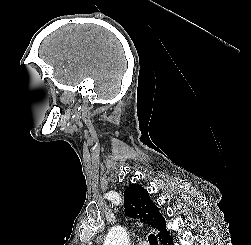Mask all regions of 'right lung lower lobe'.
Listing matches in <instances>:
<instances>
[{"label": "right lung lower lobe", "instance_id": "98d812e1", "mask_svg": "<svg viewBox=\"0 0 251 245\" xmlns=\"http://www.w3.org/2000/svg\"><path fill=\"white\" fill-rule=\"evenodd\" d=\"M162 245H172L173 239L169 234L162 239H159Z\"/></svg>", "mask_w": 251, "mask_h": 245}]
</instances>
